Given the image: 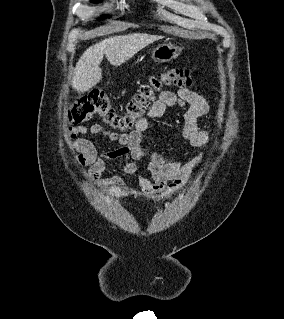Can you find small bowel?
<instances>
[{"label":"small bowel","mask_w":284,"mask_h":319,"mask_svg":"<svg viewBox=\"0 0 284 319\" xmlns=\"http://www.w3.org/2000/svg\"><path fill=\"white\" fill-rule=\"evenodd\" d=\"M169 107L186 108L182 132L184 139L193 147H207L210 143L209 134L198 124L199 118L209 113L207 100L187 88H181L177 92L165 91L149 110L148 117L158 119ZM147 128L148 121L145 118L137 120L133 131L122 135L99 124L92 125L89 129L83 126L74 127L68 132L72 140L70 149L76 152V163L81 169L89 167L87 172L83 171V175L94 187L113 188L122 195L128 194L129 185L122 178L112 176L102 179V173L108 164L122 160L123 171L136 177L142 193L150 198H159L161 203L184 186L201 160L182 164L175 158L148 151L143 144V133ZM87 132L104 136L109 141L118 143L119 147L99 154L90 140L77 137ZM138 162H145L150 179L139 172Z\"/></svg>","instance_id":"c3829d8e"}]
</instances>
